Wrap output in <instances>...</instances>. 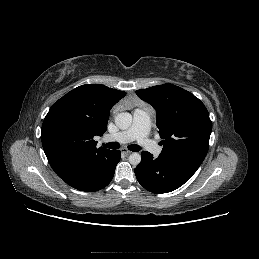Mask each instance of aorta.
<instances>
[{
	"label": "aorta",
	"mask_w": 259,
	"mask_h": 259,
	"mask_svg": "<svg viewBox=\"0 0 259 259\" xmlns=\"http://www.w3.org/2000/svg\"><path fill=\"white\" fill-rule=\"evenodd\" d=\"M115 124L121 130L128 129L132 124V116L130 113L123 112L115 116ZM129 162L132 165H138L141 162V155L137 152L130 154Z\"/></svg>",
	"instance_id": "1"
}]
</instances>
